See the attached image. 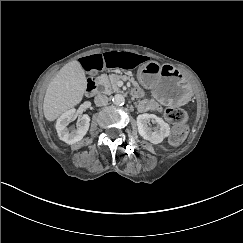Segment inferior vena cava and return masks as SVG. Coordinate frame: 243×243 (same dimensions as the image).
<instances>
[{"mask_svg": "<svg viewBox=\"0 0 243 243\" xmlns=\"http://www.w3.org/2000/svg\"><path fill=\"white\" fill-rule=\"evenodd\" d=\"M94 102L96 106H105L108 103V97L103 94H98L97 96H95Z\"/></svg>", "mask_w": 243, "mask_h": 243, "instance_id": "1", "label": "inferior vena cava"}]
</instances>
